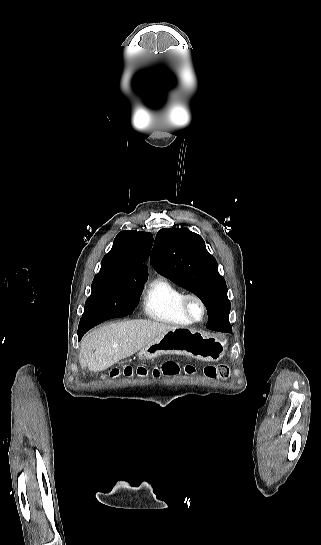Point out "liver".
I'll use <instances>...</instances> for the list:
<instances>
[{
	"mask_svg": "<svg viewBox=\"0 0 321 545\" xmlns=\"http://www.w3.org/2000/svg\"><path fill=\"white\" fill-rule=\"evenodd\" d=\"M178 327L158 323V321H123L111 323L88 333L81 341L79 363L82 369L98 373L112 367L118 361L131 357L144 349L148 343L160 337L166 331H174Z\"/></svg>",
	"mask_w": 321,
	"mask_h": 545,
	"instance_id": "6515ba94",
	"label": "liver"
}]
</instances>
